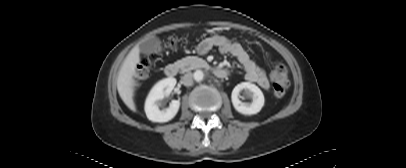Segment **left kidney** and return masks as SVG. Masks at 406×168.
<instances>
[{"instance_id":"5707ae66","label":"left kidney","mask_w":406,"mask_h":168,"mask_svg":"<svg viewBox=\"0 0 406 168\" xmlns=\"http://www.w3.org/2000/svg\"><path fill=\"white\" fill-rule=\"evenodd\" d=\"M252 99V102H242L239 99L240 93ZM232 104L236 111L243 115H254L260 112L264 106V95L260 88L250 82H242L236 85L231 94Z\"/></svg>"}]
</instances>
